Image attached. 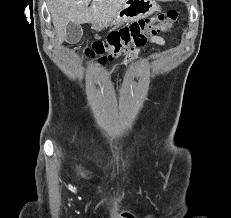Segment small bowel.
Segmentation results:
<instances>
[{
  "label": "small bowel",
  "mask_w": 231,
  "mask_h": 218,
  "mask_svg": "<svg viewBox=\"0 0 231 218\" xmlns=\"http://www.w3.org/2000/svg\"><path fill=\"white\" fill-rule=\"evenodd\" d=\"M149 43L157 44V45H164V44H165V40H164V38L161 37V36H153V37H151V38L149 39ZM139 51H140V48H137V49H135V50L129 52V53L126 55L125 59H124V63H126L127 61H129V60L133 59L134 57H136V56L138 55ZM128 63H129V64H130V63L133 64L134 62H133V61H132V62L129 61ZM114 69L116 70L117 68L115 67Z\"/></svg>",
  "instance_id": "small-bowel-1"
}]
</instances>
